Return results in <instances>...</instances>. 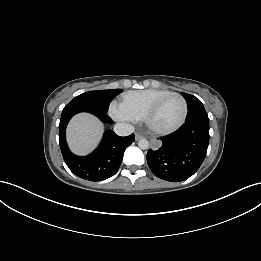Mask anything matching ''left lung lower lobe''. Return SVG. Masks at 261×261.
<instances>
[{"label": "left lung lower lobe", "mask_w": 261, "mask_h": 261, "mask_svg": "<svg viewBox=\"0 0 261 261\" xmlns=\"http://www.w3.org/2000/svg\"><path fill=\"white\" fill-rule=\"evenodd\" d=\"M208 143V117L186 121L178 131L162 137L159 148L148 151V166L163 180L172 182L186 180L204 161Z\"/></svg>", "instance_id": "1"}]
</instances>
